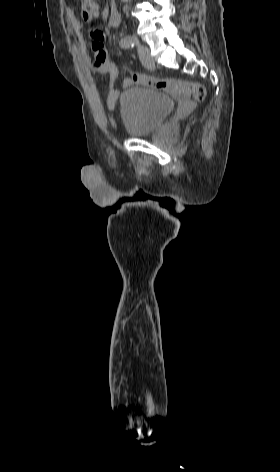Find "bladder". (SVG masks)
<instances>
[{
	"instance_id": "31cf9c89",
	"label": "bladder",
	"mask_w": 280,
	"mask_h": 472,
	"mask_svg": "<svg viewBox=\"0 0 280 472\" xmlns=\"http://www.w3.org/2000/svg\"><path fill=\"white\" fill-rule=\"evenodd\" d=\"M175 109L168 95L144 87H129L119 96V110L127 135L138 138L157 131Z\"/></svg>"
}]
</instances>
